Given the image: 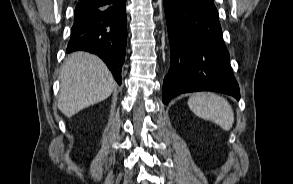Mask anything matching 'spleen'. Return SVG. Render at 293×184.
Masks as SVG:
<instances>
[{
  "label": "spleen",
  "mask_w": 293,
  "mask_h": 184,
  "mask_svg": "<svg viewBox=\"0 0 293 184\" xmlns=\"http://www.w3.org/2000/svg\"><path fill=\"white\" fill-rule=\"evenodd\" d=\"M189 108L202 119L212 121L229 131L234 123V112L226 99L215 93H194L188 100Z\"/></svg>",
  "instance_id": "1"
}]
</instances>
